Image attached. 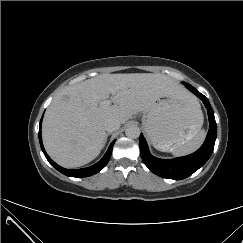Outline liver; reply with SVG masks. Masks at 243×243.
Listing matches in <instances>:
<instances>
[{"mask_svg":"<svg viewBox=\"0 0 243 243\" xmlns=\"http://www.w3.org/2000/svg\"><path fill=\"white\" fill-rule=\"evenodd\" d=\"M110 95L114 105L104 106L102 102ZM189 96L180 84L161 73L98 75L65 87L54 97L43 119L44 147L65 168L83 166L104 147L107 119L123 124L159 98L183 100Z\"/></svg>","mask_w":243,"mask_h":243,"instance_id":"obj_1","label":"liver"}]
</instances>
